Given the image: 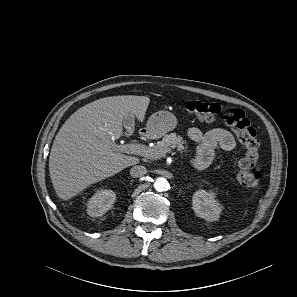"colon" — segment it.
I'll return each mask as SVG.
<instances>
[{
	"instance_id": "obj_1",
	"label": "colon",
	"mask_w": 297,
	"mask_h": 297,
	"mask_svg": "<svg viewBox=\"0 0 297 297\" xmlns=\"http://www.w3.org/2000/svg\"><path fill=\"white\" fill-rule=\"evenodd\" d=\"M186 109L203 121H212L224 116L226 124L235 132L239 142L245 149V155L237 163L236 176L238 182L247 188H257L260 174L253 172L258 156V141L256 131L245 113L236 108L225 111L217 103L202 100H191L187 102Z\"/></svg>"
}]
</instances>
